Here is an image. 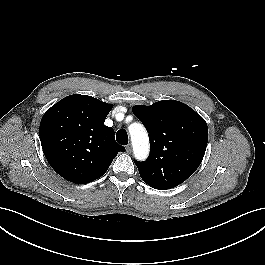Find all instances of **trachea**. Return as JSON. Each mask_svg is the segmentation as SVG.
<instances>
[{"label":"trachea","mask_w":265,"mask_h":265,"mask_svg":"<svg viewBox=\"0 0 265 265\" xmlns=\"http://www.w3.org/2000/svg\"><path fill=\"white\" fill-rule=\"evenodd\" d=\"M116 140L121 145H126L128 143V134L124 129L117 131Z\"/></svg>","instance_id":"obj_1"}]
</instances>
